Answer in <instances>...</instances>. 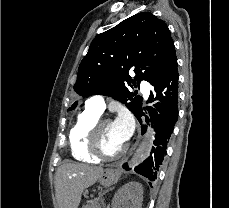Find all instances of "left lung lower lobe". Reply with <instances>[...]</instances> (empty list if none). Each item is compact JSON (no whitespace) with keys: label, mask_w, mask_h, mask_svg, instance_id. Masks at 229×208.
Returning <instances> with one entry per match:
<instances>
[{"label":"left lung lower lobe","mask_w":229,"mask_h":208,"mask_svg":"<svg viewBox=\"0 0 229 208\" xmlns=\"http://www.w3.org/2000/svg\"><path fill=\"white\" fill-rule=\"evenodd\" d=\"M157 100L153 107L138 109L135 114L136 118L142 123L141 116L148 113L151 117L152 126L156 132L154 147H152L150 156L134 170L142 176L154 181L157 177L159 165L162 164L166 155V148L171 134L174 130L175 123L178 119V71L177 62L174 64L169 75L159 84L154 85V92L150 94L148 103ZM146 122H149L148 116L145 115ZM142 126V132L145 130ZM123 168L129 169L127 164ZM151 185V183H149Z\"/></svg>","instance_id":"left-lung-lower-lobe-1"}]
</instances>
